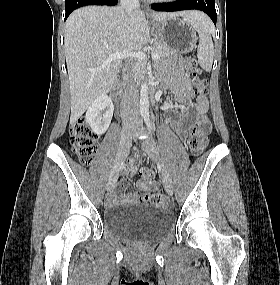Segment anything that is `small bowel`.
Wrapping results in <instances>:
<instances>
[{"mask_svg": "<svg viewBox=\"0 0 280 285\" xmlns=\"http://www.w3.org/2000/svg\"><path fill=\"white\" fill-rule=\"evenodd\" d=\"M169 88L174 94V99L177 104L184 105L191 97L192 94V83L190 79L183 73H181V67L176 66L173 70L172 79L167 81ZM190 106L194 107L196 110V118L200 125H210L208 113V101L205 97H199L194 104ZM173 129L181 135H185L187 128L185 125L177 120L172 122ZM211 127V125H210ZM137 165L134 161H131L127 164L125 172L128 175H132L136 172ZM122 185H125V182H122ZM137 187L139 188V193L129 192L126 194H114L111 193L108 195V202L115 204L118 202H131V203H144L150 197L151 191H155L158 188V185L155 182H152L149 185L144 184L143 182H138Z\"/></svg>", "mask_w": 280, "mask_h": 285, "instance_id": "c3829d8e", "label": "small bowel"}]
</instances>
